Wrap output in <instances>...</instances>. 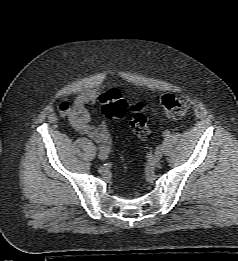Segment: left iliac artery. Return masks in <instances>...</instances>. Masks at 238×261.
Masks as SVG:
<instances>
[{
  "mask_svg": "<svg viewBox=\"0 0 238 261\" xmlns=\"http://www.w3.org/2000/svg\"><path fill=\"white\" fill-rule=\"evenodd\" d=\"M170 132L168 130L164 131L163 136L168 137Z\"/></svg>",
  "mask_w": 238,
  "mask_h": 261,
  "instance_id": "1",
  "label": "left iliac artery"
}]
</instances>
